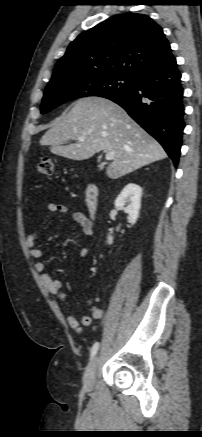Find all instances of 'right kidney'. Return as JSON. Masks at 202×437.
<instances>
[{"mask_svg":"<svg viewBox=\"0 0 202 437\" xmlns=\"http://www.w3.org/2000/svg\"><path fill=\"white\" fill-rule=\"evenodd\" d=\"M142 188L134 183H129L115 200V206L122 208L129 216V222L134 225L139 217L141 208ZM113 237L108 236V244H112Z\"/></svg>","mask_w":202,"mask_h":437,"instance_id":"obj_1","label":"right kidney"}]
</instances>
